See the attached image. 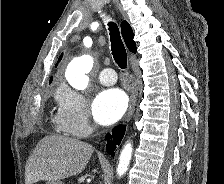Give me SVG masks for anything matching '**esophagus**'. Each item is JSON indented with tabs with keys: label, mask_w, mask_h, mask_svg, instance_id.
<instances>
[{
	"label": "esophagus",
	"mask_w": 224,
	"mask_h": 184,
	"mask_svg": "<svg viewBox=\"0 0 224 184\" xmlns=\"http://www.w3.org/2000/svg\"><path fill=\"white\" fill-rule=\"evenodd\" d=\"M132 79H133V85H132V96H131V102H130V105H129V109L126 113V116H125V119L124 121L125 122H128L134 111H135V107H136V102H137V91H136V88H135V83H134V77L133 75H131Z\"/></svg>",
	"instance_id": "obj_1"
}]
</instances>
